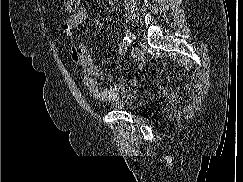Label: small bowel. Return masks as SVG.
Wrapping results in <instances>:
<instances>
[{
    "label": "small bowel",
    "mask_w": 243,
    "mask_h": 182,
    "mask_svg": "<svg viewBox=\"0 0 243 182\" xmlns=\"http://www.w3.org/2000/svg\"><path fill=\"white\" fill-rule=\"evenodd\" d=\"M88 12L85 8H80L78 11L67 17L62 24V32L69 39L71 47V59L76 67L82 73V82L89 90L90 94L100 101H113L118 98L123 91V79L107 89H102L95 80L101 72V67L95 63L89 56L86 46L83 43L77 42L75 38V29L79 24L87 19ZM127 48L120 45L118 54L124 55ZM133 58L139 62L142 67L145 64L144 57L140 51L133 53Z\"/></svg>",
    "instance_id": "c3829d8e"
}]
</instances>
